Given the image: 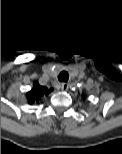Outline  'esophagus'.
Instances as JSON below:
<instances>
[{"instance_id":"obj_1","label":"esophagus","mask_w":122,"mask_h":154,"mask_svg":"<svg viewBox=\"0 0 122 154\" xmlns=\"http://www.w3.org/2000/svg\"><path fill=\"white\" fill-rule=\"evenodd\" d=\"M69 88V84L68 83H62L61 84V90L66 91Z\"/></svg>"}]
</instances>
